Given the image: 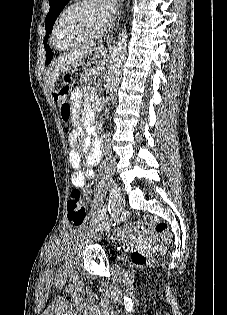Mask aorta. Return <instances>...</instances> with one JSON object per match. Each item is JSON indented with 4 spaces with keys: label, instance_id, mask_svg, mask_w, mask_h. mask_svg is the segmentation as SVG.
Instances as JSON below:
<instances>
[{
    "label": "aorta",
    "instance_id": "obj_1",
    "mask_svg": "<svg viewBox=\"0 0 227 315\" xmlns=\"http://www.w3.org/2000/svg\"><path fill=\"white\" fill-rule=\"evenodd\" d=\"M127 38L128 34L126 29H122L111 52L106 79V90L109 95L113 93L120 82L127 53Z\"/></svg>",
    "mask_w": 227,
    "mask_h": 315
}]
</instances>
